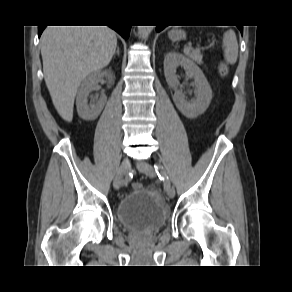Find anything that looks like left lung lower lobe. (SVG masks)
<instances>
[{
  "instance_id": "0a47b994",
  "label": "left lung lower lobe",
  "mask_w": 292,
  "mask_h": 292,
  "mask_svg": "<svg viewBox=\"0 0 292 292\" xmlns=\"http://www.w3.org/2000/svg\"><path fill=\"white\" fill-rule=\"evenodd\" d=\"M166 26L165 25H157L156 27V31L160 32L161 30H163ZM239 30L241 31V33H243V27L242 26H238Z\"/></svg>"
}]
</instances>
